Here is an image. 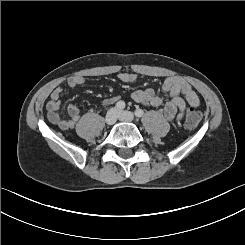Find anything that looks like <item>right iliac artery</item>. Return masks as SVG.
Wrapping results in <instances>:
<instances>
[{
    "label": "right iliac artery",
    "mask_w": 245,
    "mask_h": 245,
    "mask_svg": "<svg viewBox=\"0 0 245 245\" xmlns=\"http://www.w3.org/2000/svg\"><path fill=\"white\" fill-rule=\"evenodd\" d=\"M116 109L118 110H123L125 108V103L124 101H118L115 105Z\"/></svg>",
    "instance_id": "right-iliac-artery-1"
}]
</instances>
